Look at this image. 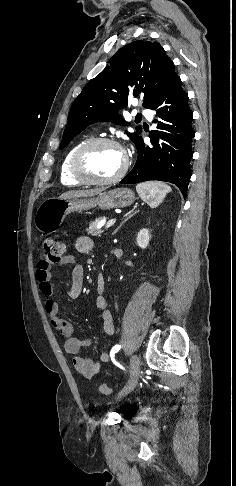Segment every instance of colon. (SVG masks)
<instances>
[{"label":"colon","mask_w":236,"mask_h":486,"mask_svg":"<svg viewBox=\"0 0 236 486\" xmlns=\"http://www.w3.org/2000/svg\"><path fill=\"white\" fill-rule=\"evenodd\" d=\"M43 248L45 250L46 258L50 262H59L67 252V244L65 241L55 237H47L43 241ZM99 391L104 395H111L112 389L106 384L99 386Z\"/></svg>","instance_id":"obj_1"}]
</instances>
